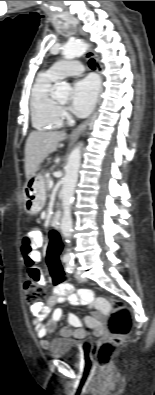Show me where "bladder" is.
<instances>
[{
  "label": "bladder",
  "instance_id": "1",
  "mask_svg": "<svg viewBox=\"0 0 155 395\" xmlns=\"http://www.w3.org/2000/svg\"><path fill=\"white\" fill-rule=\"evenodd\" d=\"M50 354L55 358H67L70 360L80 361L84 357L85 347L78 340L58 338L52 341Z\"/></svg>",
  "mask_w": 155,
  "mask_h": 395
}]
</instances>
